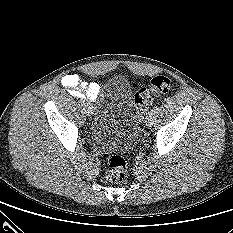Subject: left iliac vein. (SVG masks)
Listing matches in <instances>:
<instances>
[{
  "mask_svg": "<svg viewBox=\"0 0 233 233\" xmlns=\"http://www.w3.org/2000/svg\"><path fill=\"white\" fill-rule=\"evenodd\" d=\"M155 120V113L154 112H149L146 116V126L151 127L154 123Z\"/></svg>",
  "mask_w": 233,
  "mask_h": 233,
  "instance_id": "1",
  "label": "left iliac vein"
}]
</instances>
